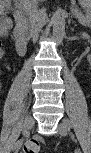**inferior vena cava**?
Returning a JSON list of instances; mask_svg holds the SVG:
<instances>
[{
	"instance_id": "inferior-vena-cava-1",
	"label": "inferior vena cava",
	"mask_w": 91,
	"mask_h": 153,
	"mask_svg": "<svg viewBox=\"0 0 91 153\" xmlns=\"http://www.w3.org/2000/svg\"><path fill=\"white\" fill-rule=\"evenodd\" d=\"M46 17L45 10L35 11L30 14L29 23H30V36L33 38V41L36 42L38 39V32L44 24Z\"/></svg>"
}]
</instances>
